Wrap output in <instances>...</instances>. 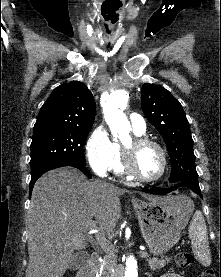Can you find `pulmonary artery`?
<instances>
[{"instance_id":"obj_1","label":"pulmonary artery","mask_w":221,"mask_h":277,"mask_svg":"<svg viewBox=\"0 0 221 277\" xmlns=\"http://www.w3.org/2000/svg\"><path fill=\"white\" fill-rule=\"evenodd\" d=\"M133 130L139 133H144L146 130V124L142 116L136 113H132L129 117Z\"/></svg>"}]
</instances>
